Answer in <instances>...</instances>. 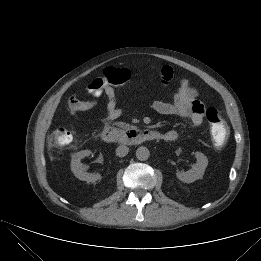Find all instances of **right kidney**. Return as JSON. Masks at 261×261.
<instances>
[{
    "label": "right kidney",
    "instance_id": "ca27d5eb",
    "mask_svg": "<svg viewBox=\"0 0 261 261\" xmlns=\"http://www.w3.org/2000/svg\"><path fill=\"white\" fill-rule=\"evenodd\" d=\"M90 154V150H82L75 153L71 159V170L75 177H77L79 180L94 183L97 180L101 179V175L96 173L90 174L85 172V168L81 163V160L84 157L89 156Z\"/></svg>",
    "mask_w": 261,
    "mask_h": 261
}]
</instances>
